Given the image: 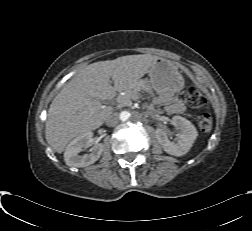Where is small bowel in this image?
<instances>
[{"label":"small bowel","instance_id":"obj_1","mask_svg":"<svg viewBox=\"0 0 252 231\" xmlns=\"http://www.w3.org/2000/svg\"><path fill=\"white\" fill-rule=\"evenodd\" d=\"M169 110L175 113H181L184 110L183 104L181 102H177L168 106Z\"/></svg>","mask_w":252,"mask_h":231}]
</instances>
